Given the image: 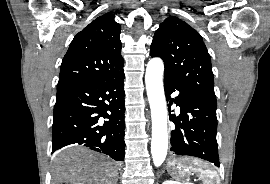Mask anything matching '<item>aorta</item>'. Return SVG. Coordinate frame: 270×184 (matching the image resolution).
Here are the masks:
<instances>
[{"label": "aorta", "mask_w": 270, "mask_h": 184, "mask_svg": "<svg viewBox=\"0 0 270 184\" xmlns=\"http://www.w3.org/2000/svg\"><path fill=\"white\" fill-rule=\"evenodd\" d=\"M164 64L152 58L146 67L145 83L151 109V154L156 167L165 161L168 149L167 107L163 88Z\"/></svg>", "instance_id": "762f6f07"}]
</instances>
